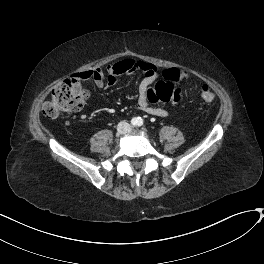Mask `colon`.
Returning <instances> with one entry per match:
<instances>
[{"instance_id":"obj_1","label":"colon","mask_w":264,"mask_h":264,"mask_svg":"<svg viewBox=\"0 0 264 264\" xmlns=\"http://www.w3.org/2000/svg\"><path fill=\"white\" fill-rule=\"evenodd\" d=\"M163 79L154 83L148 90L153 101L180 102L183 93L175 83L183 80V72L176 67L168 68L162 72ZM88 91L82 86L81 80L71 77L57 84L51 93L50 99L43 104V114L48 118H56L65 112L79 111L88 99ZM201 98L205 103L214 100V93L204 85L201 90Z\"/></svg>"}]
</instances>
